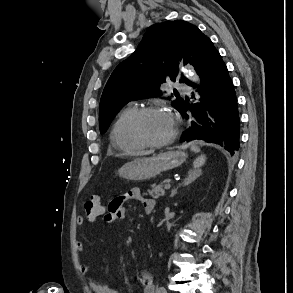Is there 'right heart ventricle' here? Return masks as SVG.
Masks as SVG:
<instances>
[{"instance_id": "1", "label": "right heart ventricle", "mask_w": 293, "mask_h": 293, "mask_svg": "<svg viewBox=\"0 0 293 293\" xmlns=\"http://www.w3.org/2000/svg\"><path fill=\"white\" fill-rule=\"evenodd\" d=\"M136 111V106L129 105L119 112L113 122L110 141L113 147L121 152L135 153L144 149L130 134V122Z\"/></svg>"}]
</instances>
